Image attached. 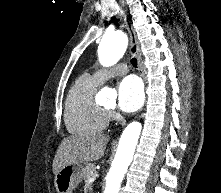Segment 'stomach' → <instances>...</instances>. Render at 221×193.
Segmentation results:
<instances>
[{
	"label": "stomach",
	"mask_w": 221,
	"mask_h": 193,
	"mask_svg": "<svg viewBox=\"0 0 221 193\" xmlns=\"http://www.w3.org/2000/svg\"><path fill=\"white\" fill-rule=\"evenodd\" d=\"M83 165L70 164L55 174L54 185L58 193H72L83 178Z\"/></svg>",
	"instance_id": "1"
}]
</instances>
